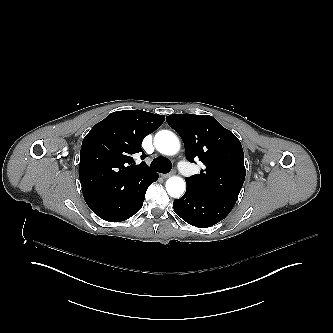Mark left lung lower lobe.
I'll return each instance as SVG.
<instances>
[{"label":"left lung lower lobe","instance_id":"0a47b994","mask_svg":"<svg viewBox=\"0 0 333 333\" xmlns=\"http://www.w3.org/2000/svg\"><path fill=\"white\" fill-rule=\"evenodd\" d=\"M234 205L233 201L198 195L190 189L173 203L180 218L200 228L210 227L224 219Z\"/></svg>","mask_w":333,"mask_h":333}]
</instances>
